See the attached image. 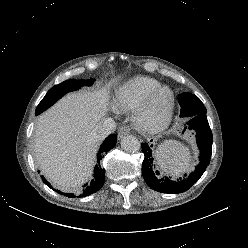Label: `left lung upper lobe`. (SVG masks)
Wrapping results in <instances>:
<instances>
[{
  "mask_svg": "<svg viewBox=\"0 0 248 248\" xmlns=\"http://www.w3.org/2000/svg\"><path fill=\"white\" fill-rule=\"evenodd\" d=\"M178 102L181 105L182 116H192L207 112L204 104L194 94L188 92L182 93L178 97Z\"/></svg>",
  "mask_w": 248,
  "mask_h": 248,
  "instance_id": "1",
  "label": "left lung upper lobe"
}]
</instances>
